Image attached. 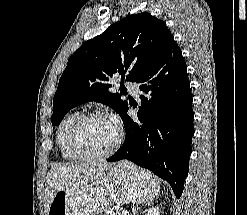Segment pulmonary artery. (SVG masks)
<instances>
[{
  "instance_id": "e3ab8cb5",
  "label": "pulmonary artery",
  "mask_w": 247,
  "mask_h": 215,
  "mask_svg": "<svg viewBox=\"0 0 247 215\" xmlns=\"http://www.w3.org/2000/svg\"><path fill=\"white\" fill-rule=\"evenodd\" d=\"M125 85L132 95L137 96L140 93L138 84L133 82H126Z\"/></svg>"
}]
</instances>
